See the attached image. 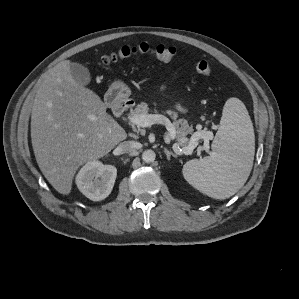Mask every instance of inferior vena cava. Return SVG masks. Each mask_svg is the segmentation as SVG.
<instances>
[{"label":"inferior vena cava","instance_id":"inferior-vena-cava-1","mask_svg":"<svg viewBox=\"0 0 299 299\" xmlns=\"http://www.w3.org/2000/svg\"><path fill=\"white\" fill-rule=\"evenodd\" d=\"M139 147V143L135 141H124L117 147L120 153H130Z\"/></svg>","mask_w":299,"mask_h":299}]
</instances>
